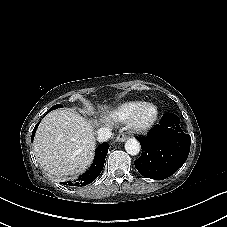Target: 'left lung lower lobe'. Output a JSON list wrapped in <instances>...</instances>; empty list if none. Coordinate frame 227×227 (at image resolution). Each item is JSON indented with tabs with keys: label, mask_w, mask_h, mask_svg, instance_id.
<instances>
[{
	"label": "left lung lower lobe",
	"mask_w": 227,
	"mask_h": 227,
	"mask_svg": "<svg viewBox=\"0 0 227 227\" xmlns=\"http://www.w3.org/2000/svg\"><path fill=\"white\" fill-rule=\"evenodd\" d=\"M180 119L165 113L146 137H140L142 154L135 167L145 177L162 180L174 174L186 161L191 137L179 126Z\"/></svg>",
	"instance_id": "left-lung-lower-lobe-1"
}]
</instances>
